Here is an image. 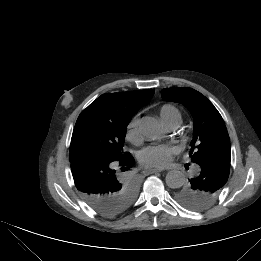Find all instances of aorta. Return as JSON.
I'll list each match as a JSON object with an SVG mask.
<instances>
[{
	"label": "aorta",
	"mask_w": 261,
	"mask_h": 261,
	"mask_svg": "<svg viewBox=\"0 0 261 261\" xmlns=\"http://www.w3.org/2000/svg\"><path fill=\"white\" fill-rule=\"evenodd\" d=\"M139 132L144 138L155 140L162 133V125L154 117H143L139 124ZM165 180L168 187L176 189L183 186L185 177L181 171L171 170L167 173Z\"/></svg>",
	"instance_id": "1"
}]
</instances>
